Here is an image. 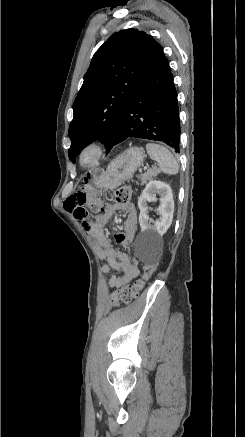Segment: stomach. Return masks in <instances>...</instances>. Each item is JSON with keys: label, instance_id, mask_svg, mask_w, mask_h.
<instances>
[{"label": "stomach", "instance_id": "obj_1", "mask_svg": "<svg viewBox=\"0 0 245 437\" xmlns=\"http://www.w3.org/2000/svg\"><path fill=\"white\" fill-rule=\"evenodd\" d=\"M145 154L140 147H131L117 156L107 171H90L84 180L94 190L115 189L132 178L134 172L143 164Z\"/></svg>", "mask_w": 245, "mask_h": 437}]
</instances>
